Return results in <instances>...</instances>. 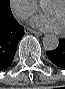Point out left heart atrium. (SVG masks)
<instances>
[{"mask_svg":"<svg viewBox=\"0 0 65 89\" xmlns=\"http://www.w3.org/2000/svg\"><path fill=\"white\" fill-rule=\"evenodd\" d=\"M31 25L42 31L59 33L64 28L63 21L54 15H41L32 20Z\"/></svg>","mask_w":65,"mask_h":89,"instance_id":"left-heart-atrium-1","label":"left heart atrium"}]
</instances>
